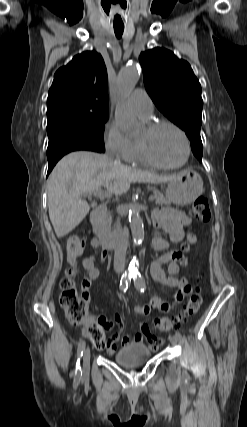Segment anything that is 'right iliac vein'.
I'll use <instances>...</instances> for the list:
<instances>
[{"mask_svg":"<svg viewBox=\"0 0 247 427\" xmlns=\"http://www.w3.org/2000/svg\"><path fill=\"white\" fill-rule=\"evenodd\" d=\"M90 368V349L87 347L83 355V371L86 373Z\"/></svg>","mask_w":247,"mask_h":427,"instance_id":"right-iliac-vein-1","label":"right iliac vein"}]
</instances>
